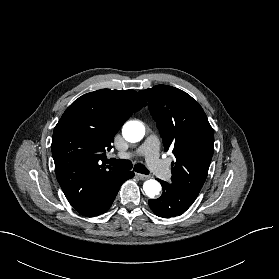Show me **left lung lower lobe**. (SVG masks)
<instances>
[{"mask_svg": "<svg viewBox=\"0 0 279 279\" xmlns=\"http://www.w3.org/2000/svg\"><path fill=\"white\" fill-rule=\"evenodd\" d=\"M160 183L163 188L161 197L148 201L152 211L159 217L170 218L181 215L198 196V193L182 190L162 180H160Z\"/></svg>", "mask_w": 279, "mask_h": 279, "instance_id": "left-lung-lower-lobe-1", "label": "left lung lower lobe"}]
</instances>
